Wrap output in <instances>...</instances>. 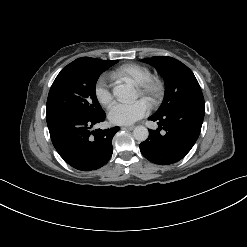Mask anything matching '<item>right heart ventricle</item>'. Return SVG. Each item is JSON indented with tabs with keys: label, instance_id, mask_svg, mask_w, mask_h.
Masks as SVG:
<instances>
[{
	"label": "right heart ventricle",
	"instance_id": "obj_1",
	"mask_svg": "<svg viewBox=\"0 0 247 247\" xmlns=\"http://www.w3.org/2000/svg\"><path fill=\"white\" fill-rule=\"evenodd\" d=\"M115 75L120 77H129L135 84L139 85L151 77V71L146 66L130 63L119 67L115 71Z\"/></svg>",
	"mask_w": 247,
	"mask_h": 247
}]
</instances>
